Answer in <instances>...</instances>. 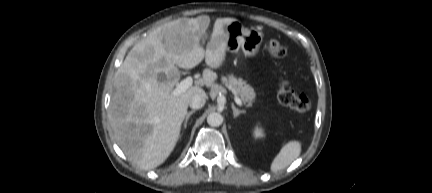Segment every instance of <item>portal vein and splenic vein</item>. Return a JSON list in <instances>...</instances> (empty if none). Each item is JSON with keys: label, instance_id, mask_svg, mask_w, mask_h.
I'll use <instances>...</instances> for the list:
<instances>
[{"label": "portal vein and splenic vein", "instance_id": "1", "mask_svg": "<svg viewBox=\"0 0 432 193\" xmlns=\"http://www.w3.org/2000/svg\"><path fill=\"white\" fill-rule=\"evenodd\" d=\"M192 84H193V78L192 77L189 76V77L185 78L181 82L177 83L176 88L173 90V94L179 95V94L185 92L189 87L192 86ZM234 100H235L237 105H239V106L242 105V101L238 96H235Z\"/></svg>", "mask_w": 432, "mask_h": 193}]
</instances>
